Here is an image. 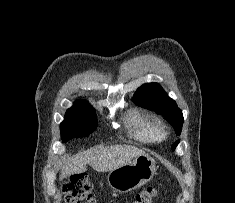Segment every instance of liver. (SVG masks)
Here are the masks:
<instances>
[{"label": "liver", "instance_id": "1", "mask_svg": "<svg viewBox=\"0 0 235 203\" xmlns=\"http://www.w3.org/2000/svg\"><path fill=\"white\" fill-rule=\"evenodd\" d=\"M145 154L141 149L130 145H114L108 148H95L74 158H64L61 178L85 172L89 164L98 172H109L130 163L136 157Z\"/></svg>", "mask_w": 235, "mask_h": 203}]
</instances>
